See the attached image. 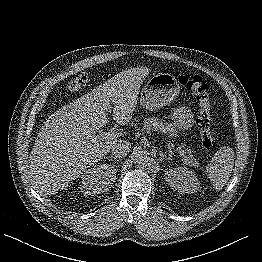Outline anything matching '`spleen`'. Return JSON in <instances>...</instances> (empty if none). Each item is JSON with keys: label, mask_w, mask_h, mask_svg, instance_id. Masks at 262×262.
I'll list each match as a JSON object with an SVG mask.
<instances>
[{"label": "spleen", "mask_w": 262, "mask_h": 262, "mask_svg": "<svg viewBox=\"0 0 262 262\" xmlns=\"http://www.w3.org/2000/svg\"><path fill=\"white\" fill-rule=\"evenodd\" d=\"M234 164V151L223 146L217 151L211 163L206 167V174L216 189H222L228 182Z\"/></svg>", "instance_id": "1"}]
</instances>
